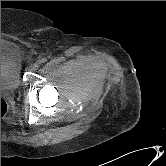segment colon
Instances as JSON below:
<instances>
[{"label":"colon","mask_w":166,"mask_h":166,"mask_svg":"<svg viewBox=\"0 0 166 166\" xmlns=\"http://www.w3.org/2000/svg\"><path fill=\"white\" fill-rule=\"evenodd\" d=\"M7 110H8V105L6 101L3 98H1V118H3L6 115Z\"/></svg>","instance_id":"obj_1"}]
</instances>
